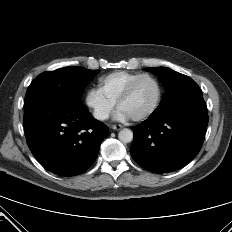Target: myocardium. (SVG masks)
Masks as SVG:
<instances>
[{"mask_svg": "<svg viewBox=\"0 0 232 232\" xmlns=\"http://www.w3.org/2000/svg\"><path fill=\"white\" fill-rule=\"evenodd\" d=\"M144 78L151 79L155 83L156 88H157V96H156V100H155L154 104L152 105V107L147 112L143 113L142 115L132 117V119L134 121H141V120H145V119L151 117L157 111V109H158V107H159V105L161 103V100H162L163 91H162V86H161L159 80L155 76H153L152 74L142 73L139 76H137L128 85L126 90L120 96V98L117 101L118 108H120V106L132 96L137 84Z\"/></svg>", "mask_w": 232, "mask_h": 232, "instance_id": "1", "label": "myocardium"}]
</instances>
